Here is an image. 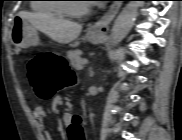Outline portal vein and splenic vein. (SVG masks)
I'll return each mask as SVG.
<instances>
[{
  "label": "portal vein and splenic vein",
  "mask_w": 182,
  "mask_h": 140,
  "mask_svg": "<svg viewBox=\"0 0 182 140\" xmlns=\"http://www.w3.org/2000/svg\"><path fill=\"white\" fill-rule=\"evenodd\" d=\"M83 65L85 64H88V59H82V62H81Z\"/></svg>",
  "instance_id": "obj_1"
}]
</instances>
